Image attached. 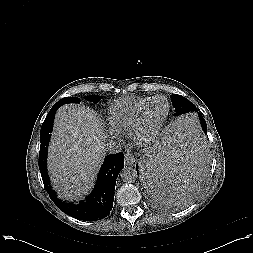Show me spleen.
<instances>
[{"label":"spleen","instance_id":"3e777b00","mask_svg":"<svg viewBox=\"0 0 253 253\" xmlns=\"http://www.w3.org/2000/svg\"><path fill=\"white\" fill-rule=\"evenodd\" d=\"M208 153L195 122L178 120L144 164L142 185L166 205L181 204L200 190L206 180Z\"/></svg>","mask_w":253,"mask_h":253}]
</instances>
